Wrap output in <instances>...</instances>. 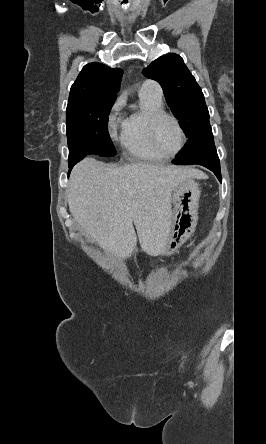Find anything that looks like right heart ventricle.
I'll return each mask as SVG.
<instances>
[{
    "label": "right heart ventricle",
    "mask_w": 266,
    "mask_h": 444,
    "mask_svg": "<svg viewBox=\"0 0 266 444\" xmlns=\"http://www.w3.org/2000/svg\"><path fill=\"white\" fill-rule=\"evenodd\" d=\"M140 109L131 113L124 125L121 144L131 158L141 161H160L165 157L157 153L148 137L149 117L163 110L162 100L140 93Z\"/></svg>",
    "instance_id": "1"
}]
</instances>
